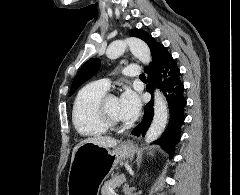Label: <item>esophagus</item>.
Wrapping results in <instances>:
<instances>
[{
    "instance_id": "1",
    "label": "esophagus",
    "mask_w": 240,
    "mask_h": 195,
    "mask_svg": "<svg viewBox=\"0 0 240 195\" xmlns=\"http://www.w3.org/2000/svg\"><path fill=\"white\" fill-rule=\"evenodd\" d=\"M135 138V137H134ZM132 144V140H126V142L124 143V145L128 146V145H131Z\"/></svg>"
}]
</instances>
